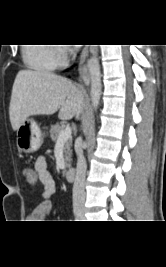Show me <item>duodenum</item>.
<instances>
[{
	"instance_id": "duodenum-1",
	"label": "duodenum",
	"mask_w": 166,
	"mask_h": 267,
	"mask_svg": "<svg viewBox=\"0 0 166 267\" xmlns=\"http://www.w3.org/2000/svg\"><path fill=\"white\" fill-rule=\"evenodd\" d=\"M75 177H76V170L73 167L68 168L67 171L65 172L66 180L73 181Z\"/></svg>"
}]
</instances>
